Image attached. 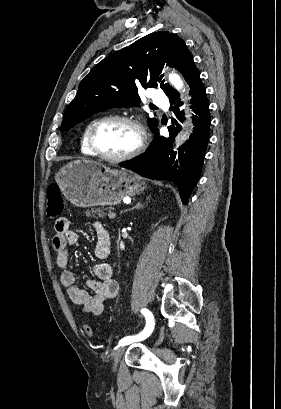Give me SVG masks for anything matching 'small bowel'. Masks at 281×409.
<instances>
[{
	"label": "small bowel",
	"instance_id": "c3829d8e",
	"mask_svg": "<svg viewBox=\"0 0 281 409\" xmlns=\"http://www.w3.org/2000/svg\"><path fill=\"white\" fill-rule=\"evenodd\" d=\"M96 231L94 256L97 262L93 272L97 279L87 281V291L75 285V274L67 269L69 264V247L77 244L79 236L70 229V222L66 217L57 219L54 223L52 245L56 253V263L62 269L60 281L67 289L71 303L84 313L99 315L107 301L114 299L119 293V283L113 276V267L108 263L112 255V243L108 231L99 222H93Z\"/></svg>",
	"mask_w": 281,
	"mask_h": 409
}]
</instances>
